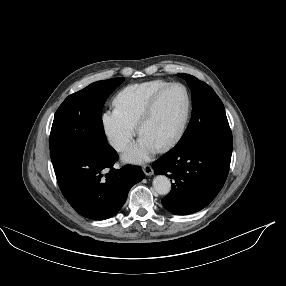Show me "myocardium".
Here are the masks:
<instances>
[{
	"label": "myocardium",
	"instance_id": "f54148a6",
	"mask_svg": "<svg viewBox=\"0 0 286 286\" xmlns=\"http://www.w3.org/2000/svg\"><path fill=\"white\" fill-rule=\"evenodd\" d=\"M175 87L181 88L185 94L186 108H185L184 117H183V120H182L179 128L173 134V136L171 138H169L165 143H163L162 145L157 147L158 153H166L167 151L171 150L180 141V139L182 138V136L184 135V133L186 131V128L189 124L190 115H191V97H190V94H189L187 87L185 85H183L181 83H177V82L169 83L168 85L162 87L147 102V104L145 105V107H144L142 113L140 114V116L137 120V123H136L138 133L140 134L144 123L151 116V114H152L156 104L160 100V98L167 91H169L170 89L175 88Z\"/></svg>",
	"mask_w": 286,
	"mask_h": 286
}]
</instances>
